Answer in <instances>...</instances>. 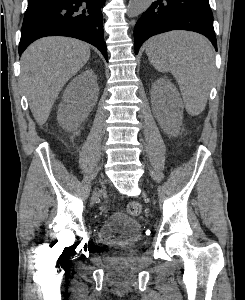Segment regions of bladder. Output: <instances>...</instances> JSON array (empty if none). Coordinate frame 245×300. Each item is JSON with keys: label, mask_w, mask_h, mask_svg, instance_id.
I'll list each match as a JSON object with an SVG mask.
<instances>
[{"label": "bladder", "mask_w": 245, "mask_h": 300, "mask_svg": "<svg viewBox=\"0 0 245 300\" xmlns=\"http://www.w3.org/2000/svg\"><path fill=\"white\" fill-rule=\"evenodd\" d=\"M141 233V223L122 213L111 214L98 229L100 241L109 246L132 245L139 240Z\"/></svg>", "instance_id": "31cf9c89"}]
</instances>
